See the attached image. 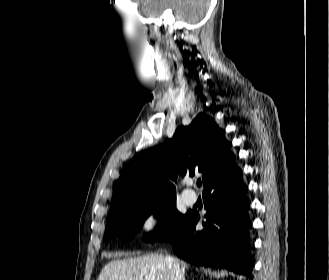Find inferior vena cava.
<instances>
[{
    "label": "inferior vena cava",
    "instance_id": "1",
    "mask_svg": "<svg viewBox=\"0 0 329 280\" xmlns=\"http://www.w3.org/2000/svg\"><path fill=\"white\" fill-rule=\"evenodd\" d=\"M167 263L171 268L172 280H185L184 273L181 270L180 264L173 257L167 256Z\"/></svg>",
    "mask_w": 329,
    "mask_h": 280
}]
</instances>
